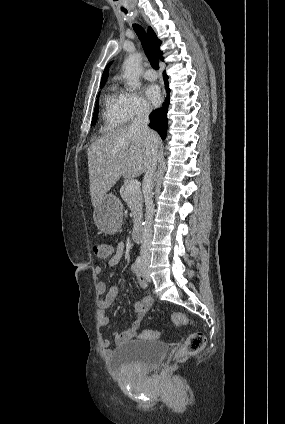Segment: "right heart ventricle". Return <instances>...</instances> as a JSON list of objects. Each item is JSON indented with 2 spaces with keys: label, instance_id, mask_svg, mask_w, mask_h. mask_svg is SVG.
I'll use <instances>...</instances> for the list:
<instances>
[{
  "label": "right heart ventricle",
  "instance_id": "e07e8e85",
  "mask_svg": "<svg viewBox=\"0 0 285 424\" xmlns=\"http://www.w3.org/2000/svg\"><path fill=\"white\" fill-rule=\"evenodd\" d=\"M121 92L118 90L116 85H112L109 88L108 93L103 98L102 106V130L112 131L118 129L126 123Z\"/></svg>",
  "mask_w": 285,
  "mask_h": 424
}]
</instances>
